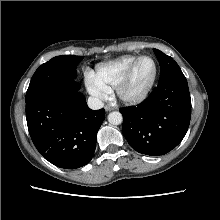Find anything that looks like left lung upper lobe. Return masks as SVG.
Returning <instances> with one entry per match:
<instances>
[{"instance_id":"1","label":"left lung upper lobe","mask_w":220,"mask_h":220,"mask_svg":"<svg viewBox=\"0 0 220 220\" xmlns=\"http://www.w3.org/2000/svg\"><path fill=\"white\" fill-rule=\"evenodd\" d=\"M154 53L160 63V78L158 83L170 77L183 75L180 67L172 57L165 55L158 49H154Z\"/></svg>"}]
</instances>
